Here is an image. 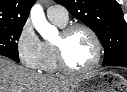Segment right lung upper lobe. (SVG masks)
Returning <instances> with one entry per match:
<instances>
[{"label": "right lung upper lobe", "instance_id": "right-lung-upper-lobe-1", "mask_svg": "<svg viewBox=\"0 0 127 92\" xmlns=\"http://www.w3.org/2000/svg\"><path fill=\"white\" fill-rule=\"evenodd\" d=\"M35 0H0V26H24Z\"/></svg>", "mask_w": 127, "mask_h": 92}]
</instances>
